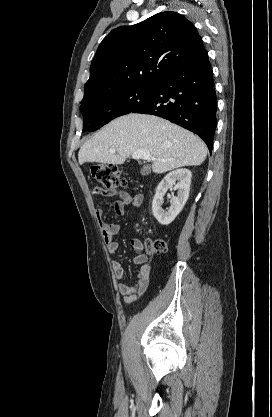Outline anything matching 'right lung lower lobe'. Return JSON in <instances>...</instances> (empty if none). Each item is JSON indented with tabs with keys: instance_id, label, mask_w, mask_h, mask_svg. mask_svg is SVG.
<instances>
[{
	"instance_id": "98d812e1",
	"label": "right lung lower lobe",
	"mask_w": 272,
	"mask_h": 417,
	"mask_svg": "<svg viewBox=\"0 0 272 417\" xmlns=\"http://www.w3.org/2000/svg\"><path fill=\"white\" fill-rule=\"evenodd\" d=\"M217 101L213 72L204 48L156 83L152 97L133 113L163 117L197 134L212 150Z\"/></svg>"
}]
</instances>
